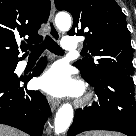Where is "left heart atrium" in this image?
Wrapping results in <instances>:
<instances>
[{
    "label": "left heart atrium",
    "mask_w": 136,
    "mask_h": 136,
    "mask_svg": "<svg viewBox=\"0 0 136 136\" xmlns=\"http://www.w3.org/2000/svg\"><path fill=\"white\" fill-rule=\"evenodd\" d=\"M38 84L43 90L56 96L79 90L78 85L71 81L67 70L61 66H55L46 72L39 79Z\"/></svg>",
    "instance_id": "left-heart-atrium-1"
}]
</instances>
